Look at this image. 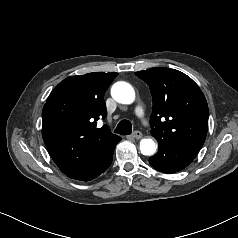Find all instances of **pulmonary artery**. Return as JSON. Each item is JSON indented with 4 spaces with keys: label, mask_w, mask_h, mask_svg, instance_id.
Masks as SVG:
<instances>
[{
    "label": "pulmonary artery",
    "mask_w": 238,
    "mask_h": 238,
    "mask_svg": "<svg viewBox=\"0 0 238 238\" xmlns=\"http://www.w3.org/2000/svg\"><path fill=\"white\" fill-rule=\"evenodd\" d=\"M134 113L138 118H143L145 115L144 107L142 105L136 106Z\"/></svg>",
    "instance_id": "1"
}]
</instances>
